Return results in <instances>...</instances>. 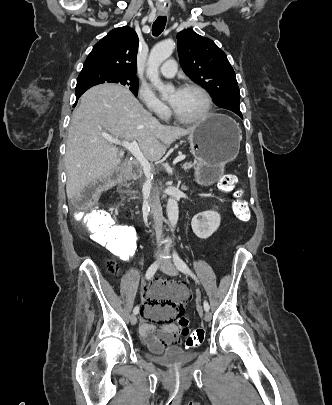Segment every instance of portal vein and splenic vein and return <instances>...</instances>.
I'll return each mask as SVG.
<instances>
[{"mask_svg":"<svg viewBox=\"0 0 332 405\" xmlns=\"http://www.w3.org/2000/svg\"><path fill=\"white\" fill-rule=\"evenodd\" d=\"M104 138L109 141L110 143L116 144V145H121L124 148H126L140 163V165L143 168L144 174L146 177L152 176V168L148 160L145 158V156L142 154V152L139 149L138 143L136 141L133 142H128V141H121L118 138H114L108 134H104ZM185 159V156H178L175 158L173 161V164H176L182 160ZM186 168V167H184Z\"/></svg>","mask_w":332,"mask_h":405,"instance_id":"18ae733b","label":"portal vein and splenic vein"}]
</instances>
